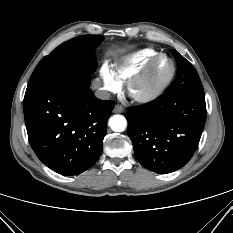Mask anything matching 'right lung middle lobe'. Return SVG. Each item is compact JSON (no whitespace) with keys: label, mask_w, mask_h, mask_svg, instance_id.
<instances>
[{"label":"right lung middle lobe","mask_w":233,"mask_h":233,"mask_svg":"<svg viewBox=\"0 0 233 233\" xmlns=\"http://www.w3.org/2000/svg\"><path fill=\"white\" fill-rule=\"evenodd\" d=\"M102 40L101 35H83L59 45L38 63L30 77L25 96L63 78L92 72L96 67L92 51Z\"/></svg>","instance_id":"dd1d6c3e"}]
</instances>
